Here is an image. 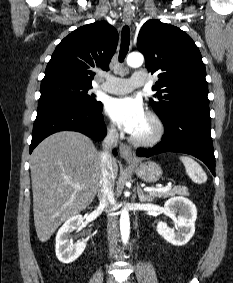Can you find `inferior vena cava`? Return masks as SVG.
Listing matches in <instances>:
<instances>
[{
    "instance_id": "1",
    "label": "inferior vena cava",
    "mask_w": 233,
    "mask_h": 283,
    "mask_svg": "<svg viewBox=\"0 0 233 283\" xmlns=\"http://www.w3.org/2000/svg\"><path fill=\"white\" fill-rule=\"evenodd\" d=\"M118 132L114 127L108 129L107 135L103 140V151L101 152V179L98 190L100 205L106 208L108 214L107 235L110 256L114 253L117 239L119 236L118 221L114 214L115 198L113 193L114 176L112 167V155L110 149L117 146Z\"/></svg>"
}]
</instances>
